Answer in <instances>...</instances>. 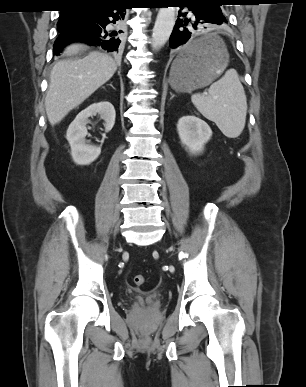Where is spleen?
Instances as JSON below:
<instances>
[{"label":"spleen","instance_id":"3e777b00","mask_svg":"<svg viewBox=\"0 0 306 387\" xmlns=\"http://www.w3.org/2000/svg\"><path fill=\"white\" fill-rule=\"evenodd\" d=\"M191 100L197 110L216 123L229 138L238 137L245 127L247 99L236 70L229 69L213 83L208 94H194Z\"/></svg>","mask_w":306,"mask_h":387}]
</instances>
